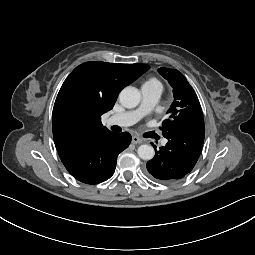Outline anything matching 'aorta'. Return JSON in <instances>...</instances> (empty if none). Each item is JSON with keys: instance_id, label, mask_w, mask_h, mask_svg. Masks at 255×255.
Wrapping results in <instances>:
<instances>
[{"instance_id": "obj_1", "label": "aorta", "mask_w": 255, "mask_h": 255, "mask_svg": "<svg viewBox=\"0 0 255 255\" xmlns=\"http://www.w3.org/2000/svg\"><path fill=\"white\" fill-rule=\"evenodd\" d=\"M119 100L125 108H134L140 103L141 94L135 87H126L120 92ZM138 155L143 160H151L155 151L151 145L143 144L138 148Z\"/></svg>"}]
</instances>
